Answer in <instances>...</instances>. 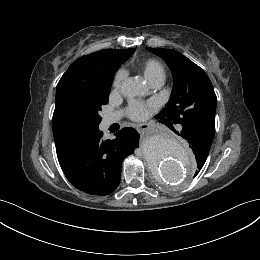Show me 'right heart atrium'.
Masks as SVG:
<instances>
[{
	"label": "right heart atrium",
	"instance_id": "1",
	"mask_svg": "<svg viewBox=\"0 0 260 260\" xmlns=\"http://www.w3.org/2000/svg\"><path fill=\"white\" fill-rule=\"evenodd\" d=\"M127 77V72L123 69H120L115 77H114V80H113V89L115 91L119 90L120 87L122 86L123 82L125 81Z\"/></svg>",
	"mask_w": 260,
	"mask_h": 260
}]
</instances>
